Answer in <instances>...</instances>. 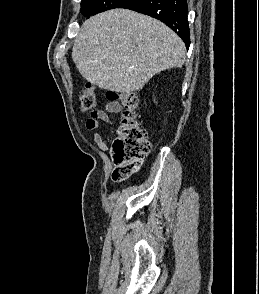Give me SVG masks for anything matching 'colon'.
Returning <instances> with one entry per match:
<instances>
[{
	"mask_svg": "<svg viewBox=\"0 0 259 294\" xmlns=\"http://www.w3.org/2000/svg\"><path fill=\"white\" fill-rule=\"evenodd\" d=\"M111 101H120L123 107L122 120L113 143V160L115 168L112 177L123 181L136 173L151 149L146 131L141 125L138 114V97L132 92H109ZM96 96L92 85L88 84L80 95V109L93 113Z\"/></svg>",
	"mask_w": 259,
	"mask_h": 294,
	"instance_id": "5ec220e1",
	"label": "colon"
}]
</instances>
